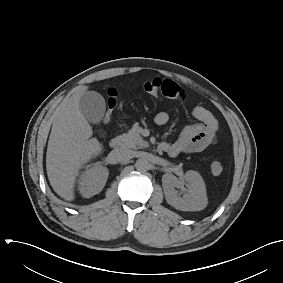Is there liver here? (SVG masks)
Returning a JSON list of instances; mask_svg holds the SVG:
<instances>
[{
    "label": "liver",
    "mask_w": 283,
    "mask_h": 283,
    "mask_svg": "<svg viewBox=\"0 0 283 283\" xmlns=\"http://www.w3.org/2000/svg\"><path fill=\"white\" fill-rule=\"evenodd\" d=\"M87 87H81L65 100L55 115L46 153V170L50 185L63 199H74L79 170L102 152V146L80 110V98Z\"/></svg>",
    "instance_id": "1"
}]
</instances>
